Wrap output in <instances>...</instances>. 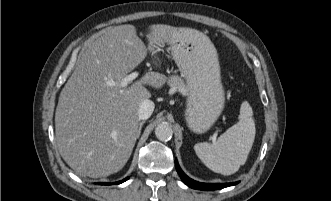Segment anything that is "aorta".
Masks as SVG:
<instances>
[{
	"mask_svg": "<svg viewBox=\"0 0 331 201\" xmlns=\"http://www.w3.org/2000/svg\"><path fill=\"white\" fill-rule=\"evenodd\" d=\"M155 135L160 141H169L173 135L172 127L168 123H161L155 128Z\"/></svg>",
	"mask_w": 331,
	"mask_h": 201,
	"instance_id": "aorta-1",
	"label": "aorta"
}]
</instances>
